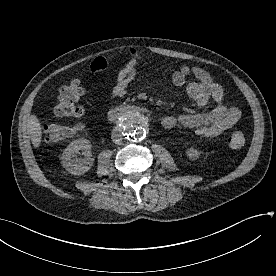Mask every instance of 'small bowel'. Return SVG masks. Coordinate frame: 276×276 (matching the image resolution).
Instances as JSON below:
<instances>
[{
  "mask_svg": "<svg viewBox=\"0 0 276 276\" xmlns=\"http://www.w3.org/2000/svg\"><path fill=\"white\" fill-rule=\"evenodd\" d=\"M146 63L147 61L135 49H131L128 60L117 74L110 98L123 97L135 78L137 68ZM107 66L106 58L97 57L92 61L90 71L97 73L105 70ZM189 75L194 77L193 81L187 80ZM172 82L178 87H185L195 107L204 108L211 101L216 103V107L208 113L166 116L162 120L164 128L183 127L194 129L196 134L202 137H216L233 127L241 119L240 109L224 102L222 86L214 82L210 74L203 68L182 65L173 72Z\"/></svg>",
  "mask_w": 276,
  "mask_h": 276,
  "instance_id": "1",
  "label": "small bowel"
}]
</instances>
